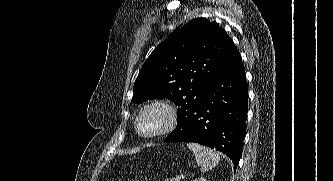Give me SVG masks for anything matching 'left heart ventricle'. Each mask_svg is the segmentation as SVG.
I'll list each match as a JSON object with an SVG mask.
<instances>
[{
    "instance_id": "obj_1",
    "label": "left heart ventricle",
    "mask_w": 333,
    "mask_h": 181,
    "mask_svg": "<svg viewBox=\"0 0 333 181\" xmlns=\"http://www.w3.org/2000/svg\"><path fill=\"white\" fill-rule=\"evenodd\" d=\"M163 121V117L158 111H150L146 113L139 122L141 132L148 133L158 129Z\"/></svg>"
}]
</instances>
